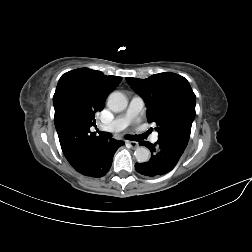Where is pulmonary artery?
I'll return each mask as SVG.
<instances>
[{
    "label": "pulmonary artery",
    "mask_w": 252,
    "mask_h": 252,
    "mask_svg": "<svg viewBox=\"0 0 252 252\" xmlns=\"http://www.w3.org/2000/svg\"><path fill=\"white\" fill-rule=\"evenodd\" d=\"M144 100L142 97L135 95L131 98L126 111L118 116L113 122L108 125H100V129L108 132H116L126 128L142 111ZM152 140H158V134L152 136Z\"/></svg>",
    "instance_id": "e3ab8cb5"
}]
</instances>
